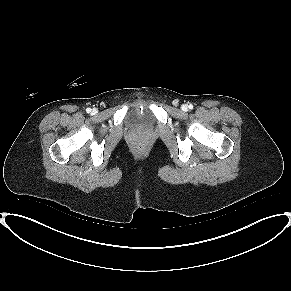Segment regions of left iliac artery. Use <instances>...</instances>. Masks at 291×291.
<instances>
[{
    "label": "left iliac artery",
    "instance_id": "left-iliac-artery-1",
    "mask_svg": "<svg viewBox=\"0 0 291 291\" xmlns=\"http://www.w3.org/2000/svg\"><path fill=\"white\" fill-rule=\"evenodd\" d=\"M188 107H189V109H193V105L192 104H190Z\"/></svg>",
    "mask_w": 291,
    "mask_h": 291
}]
</instances>
